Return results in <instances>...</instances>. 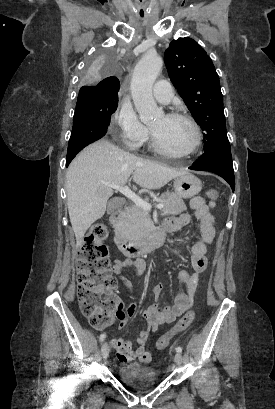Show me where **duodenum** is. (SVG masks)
I'll list each match as a JSON object with an SVG mask.
<instances>
[{
  "instance_id": "duodenum-1",
  "label": "duodenum",
  "mask_w": 275,
  "mask_h": 409,
  "mask_svg": "<svg viewBox=\"0 0 275 409\" xmlns=\"http://www.w3.org/2000/svg\"><path fill=\"white\" fill-rule=\"evenodd\" d=\"M122 218L123 210H117L111 215L110 222L114 229L115 243L127 257H141L164 243L167 226L150 230L143 241H133L127 237L122 228Z\"/></svg>"
}]
</instances>
